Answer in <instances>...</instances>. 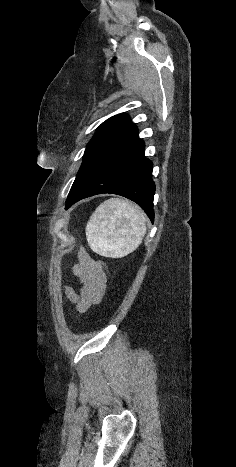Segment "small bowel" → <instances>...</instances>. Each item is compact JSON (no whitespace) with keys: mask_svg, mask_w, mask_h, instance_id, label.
I'll return each instance as SVG.
<instances>
[{"mask_svg":"<svg viewBox=\"0 0 236 467\" xmlns=\"http://www.w3.org/2000/svg\"><path fill=\"white\" fill-rule=\"evenodd\" d=\"M73 275L79 280V292L66 285L64 287L67 299L76 305L77 311L86 313L93 305L101 302L106 293L107 274L98 263L86 252L80 251L78 263L72 268Z\"/></svg>","mask_w":236,"mask_h":467,"instance_id":"small-bowel-1","label":"small bowel"}]
</instances>
